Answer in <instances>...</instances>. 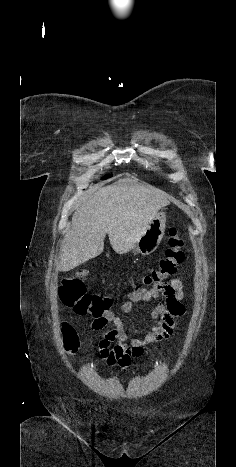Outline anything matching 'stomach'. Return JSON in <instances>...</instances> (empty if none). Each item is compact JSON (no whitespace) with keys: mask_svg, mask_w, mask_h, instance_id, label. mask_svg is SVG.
Wrapping results in <instances>:
<instances>
[{"mask_svg":"<svg viewBox=\"0 0 236 467\" xmlns=\"http://www.w3.org/2000/svg\"><path fill=\"white\" fill-rule=\"evenodd\" d=\"M166 215L164 212H157L154 218L146 227L143 235L135 243L131 250L134 255H149L159 246L165 231Z\"/></svg>","mask_w":236,"mask_h":467,"instance_id":"1","label":"stomach"}]
</instances>
